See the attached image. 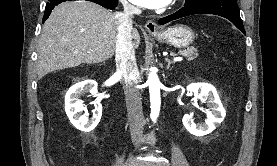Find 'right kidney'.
Instances as JSON below:
<instances>
[{"mask_svg":"<svg viewBox=\"0 0 277 166\" xmlns=\"http://www.w3.org/2000/svg\"><path fill=\"white\" fill-rule=\"evenodd\" d=\"M85 93L96 95L97 83L93 80H86L73 85L65 96V111L74 127L83 132H90L98 125L101 119L102 105L100 100L94 102L95 109L90 120L85 116H80L79 112L85 110V107H83V101L79 98Z\"/></svg>","mask_w":277,"mask_h":166,"instance_id":"1","label":"right kidney"}]
</instances>
